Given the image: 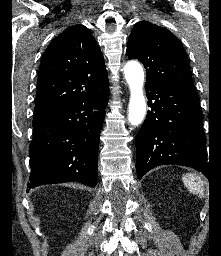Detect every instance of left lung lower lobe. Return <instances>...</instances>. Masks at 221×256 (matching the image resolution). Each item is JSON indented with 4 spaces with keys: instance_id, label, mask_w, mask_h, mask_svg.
I'll return each mask as SVG.
<instances>
[{
    "instance_id": "1",
    "label": "left lung lower lobe",
    "mask_w": 221,
    "mask_h": 256,
    "mask_svg": "<svg viewBox=\"0 0 221 256\" xmlns=\"http://www.w3.org/2000/svg\"><path fill=\"white\" fill-rule=\"evenodd\" d=\"M146 119L136 135V170L141 179L160 165H183L208 174L203 114L195 89L145 84Z\"/></svg>"
}]
</instances>
